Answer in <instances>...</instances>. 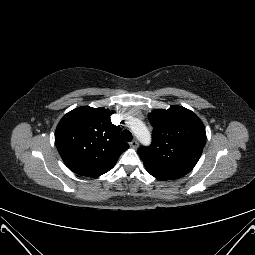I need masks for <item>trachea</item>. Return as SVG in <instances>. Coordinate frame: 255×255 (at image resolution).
<instances>
[{"label":"trachea","mask_w":255,"mask_h":255,"mask_svg":"<svg viewBox=\"0 0 255 255\" xmlns=\"http://www.w3.org/2000/svg\"><path fill=\"white\" fill-rule=\"evenodd\" d=\"M121 138H122L124 141L130 142V141H132V134H131L130 131L124 130V131H122V133H121Z\"/></svg>","instance_id":"obj_1"}]
</instances>
